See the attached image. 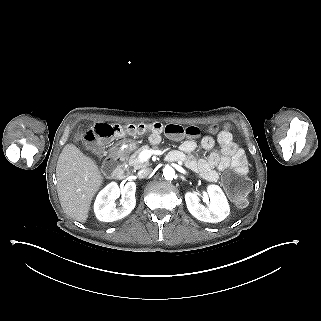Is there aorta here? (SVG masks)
Listing matches in <instances>:
<instances>
[{
  "instance_id": "aorta-1",
  "label": "aorta",
  "mask_w": 321,
  "mask_h": 321,
  "mask_svg": "<svg viewBox=\"0 0 321 321\" xmlns=\"http://www.w3.org/2000/svg\"><path fill=\"white\" fill-rule=\"evenodd\" d=\"M163 176L166 180H173L175 178V170L171 166H166L163 169Z\"/></svg>"
}]
</instances>
